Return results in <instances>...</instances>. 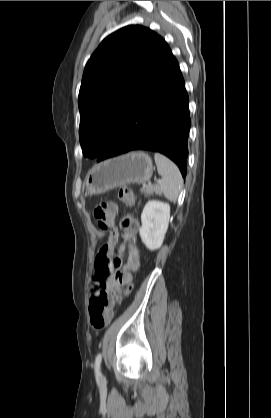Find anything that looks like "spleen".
<instances>
[{
  "mask_svg": "<svg viewBox=\"0 0 271 418\" xmlns=\"http://www.w3.org/2000/svg\"><path fill=\"white\" fill-rule=\"evenodd\" d=\"M154 159L157 165V171L162 177V181L158 187L159 192L169 201L175 202L182 189V175L176 164L164 155L155 153Z\"/></svg>",
  "mask_w": 271,
  "mask_h": 418,
  "instance_id": "spleen-1",
  "label": "spleen"
}]
</instances>
